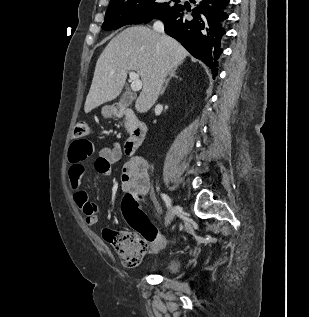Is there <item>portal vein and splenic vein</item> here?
Returning <instances> with one entry per match:
<instances>
[{
	"instance_id": "18ae733b",
	"label": "portal vein and splenic vein",
	"mask_w": 309,
	"mask_h": 317,
	"mask_svg": "<svg viewBox=\"0 0 309 317\" xmlns=\"http://www.w3.org/2000/svg\"><path fill=\"white\" fill-rule=\"evenodd\" d=\"M129 77L131 79V89L133 91H139L142 88V81L139 78V75L135 72H130Z\"/></svg>"
}]
</instances>
